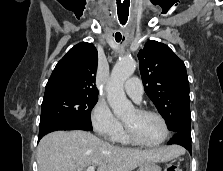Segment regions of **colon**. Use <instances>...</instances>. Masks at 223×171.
<instances>
[{"label": "colon", "instance_id": "1", "mask_svg": "<svg viewBox=\"0 0 223 171\" xmlns=\"http://www.w3.org/2000/svg\"><path fill=\"white\" fill-rule=\"evenodd\" d=\"M165 171H181L177 165H169L166 167Z\"/></svg>", "mask_w": 223, "mask_h": 171}]
</instances>
